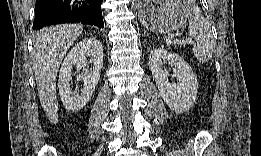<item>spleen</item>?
Listing matches in <instances>:
<instances>
[{
  "label": "spleen",
  "mask_w": 261,
  "mask_h": 156,
  "mask_svg": "<svg viewBox=\"0 0 261 156\" xmlns=\"http://www.w3.org/2000/svg\"><path fill=\"white\" fill-rule=\"evenodd\" d=\"M186 5L191 6L192 12L189 19L188 31L196 40V46L193 47V53L199 62H208L212 58L214 52V39L210 24L201 15L198 6L191 5L190 2H187Z\"/></svg>",
  "instance_id": "1"
}]
</instances>
